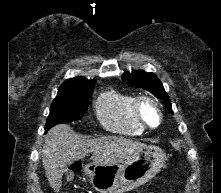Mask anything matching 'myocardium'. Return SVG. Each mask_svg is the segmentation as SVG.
I'll return each instance as SVG.
<instances>
[{"mask_svg": "<svg viewBox=\"0 0 221 193\" xmlns=\"http://www.w3.org/2000/svg\"><path fill=\"white\" fill-rule=\"evenodd\" d=\"M147 105H151L155 108L158 120L155 124L150 123L144 115V109ZM134 113L138 120V122L145 128L155 129L159 127L163 121V111L159 101L148 95H143L135 99L134 105Z\"/></svg>", "mask_w": 221, "mask_h": 193, "instance_id": "1", "label": "myocardium"}]
</instances>
